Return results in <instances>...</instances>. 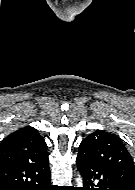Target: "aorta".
<instances>
[{
	"label": "aorta",
	"mask_w": 135,
	"mask_h": 190,
	"mask_svg": "<svg viewBox=\"0 0 135 190\" xmlns=\"http://www.w3.org/2000/svg\"><path fill=\"white\" fill-rule=\"evenodd\" d=\"M76 181H77V185H78L79 187L83 185L82 178H81L80 175L78 176V178H77Z\"/></svg>",
	"instance_id": "obj_1"
}]
</instances>
